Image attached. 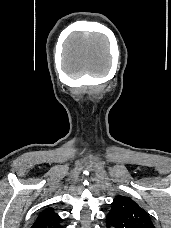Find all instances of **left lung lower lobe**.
I'll list each match as a JSON object with an SVG mask.
<instances>
[{"label":"left lung lower lobe","mask_w":171,"mask_h":228,"mask_svg":"<svg viewBox=\"0 0 171 228\" xmlns=\"http://www.w3.org/2000/svg\"><path fill=\"white\" fill-rule=\"evenodd\" d=\"M110 227H112L109 223H107V228H110Z\"/></svg>","instance_id":"left-lung-lower-lobe-1"}]
</instances>
